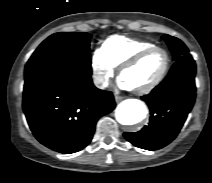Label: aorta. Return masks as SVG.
Returning a JSON list of instances; mask_svg holds the SVG:
<instances>
[{"label": "aorta", "mask_w": 212, "mask_h": 183, "mask_svg": "<svg viewBox=\"0 0 212 183\" xmlns=\"http://www.w3.org/2000/svg\"><path fill=\"white\" fill-rule=\"evenodd\" d=\"M115 114L122 125H134L146 118L147 109L138 99H126L118 105Z\"/></svg>", "instance_id": "1"}]
</instances>
